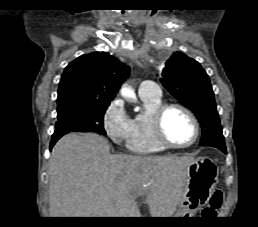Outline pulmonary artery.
<instances>
[{
	"label": "pulmonary artery",
	"mask_w": 258,
	"mask_h": 227,
	"mask_svg": "<svg viewBox=\"0 0 258 227\" xmlns=\"http://www.w3.org/2000/svg\"><path fill=\"white\" fill-rule=\"evenodd\" d=\"M138 93L140 96L160 98L162 93L160 87L153 81H143L139 85Z\"/></svg>",
	"instance_id": "pulmonary-artery-1"
}]
</instances>
